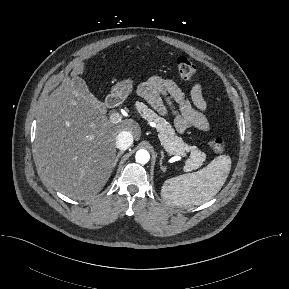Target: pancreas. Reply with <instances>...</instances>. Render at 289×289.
<instances>
[{"mask_svg":"<svg viewBox=\"0 0 289 289\" xmlns=\"http://www.w3.org/2000/svg\"><path fill=\"white\" fill-rule=\"evenodd\" d=\"M137 108L145 120L156 124L158 137L163 147H168L169 149L182 153L190 152V158L186 161L184 167L186 171L195 170L203 164L206 154L198 150L197 147L184 143L183 140L175 134L174 129L166 119L160 117L145 105L138 104Z\"/></svg>","mask_w":289,"mask_h":289,"instance_id":"1","label":"pancreas"}]
</instances>
